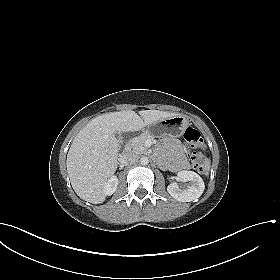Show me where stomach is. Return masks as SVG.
Instances as JSON below:
<instances>
[{"instance_id": "1", "label": "stomach", "mask_w": 280, "mask_h": 280, "mask_svg": "<svg viewBox=\"0 0 280 280\" xmlns=\"http://www.w3.org/2000/svg\"><path fill=\"white\" fill-rule=\"evenodd\" d=\"M188 125L185 117L176 115L159 121L157 124L149 126L153 130H162L166 135L171 137H179Z\"/></svg>"}]
</instances>
